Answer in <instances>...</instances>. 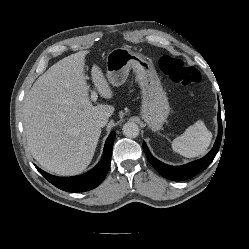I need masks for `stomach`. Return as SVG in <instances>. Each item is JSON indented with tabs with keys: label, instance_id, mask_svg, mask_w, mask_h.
I'll list each match as a JSON object with an SVG mask.
<instances>
[{
	"label": "stomach",
	"instance_id": "1",
	"mask_svg": "<svg viewBox=\"0 0 249 249\" xmlns=\"http://www.w3.org/2000/svg\"><path fill=\"white\" fill-rule=\"evenodd\" d=\"M107 78L114 86L122 85L132 67L141 88V115L149 128L158 131L166 121L170 107L150 58L128 48H115L106 58Z\"/></svg>",
	"mask_w": 249,
	"mask_h": 249
}]
</instances>
